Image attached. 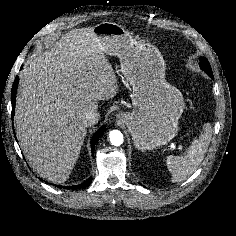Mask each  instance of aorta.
<instances>
[{
	"mask_svg": "<svg viewBox=\"0 0 236 236\" xmlns=\"http://www.w3.org/2000/svg\"><path fill=\"white\" fill-rule=\"evenodd\" d=\"M109 138H110L111 144L114 146H120L124 141L123 134L119 130L110 131Z\"/></svg>",
	"mask_w": 236,
	"mask_h": 236,
	"instance_id": "1",
	"label": "aorta"
}]
</instances>
